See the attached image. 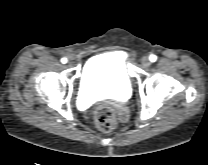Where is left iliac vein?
Here are the masks:
<instances>
[{
    "mask_svg": "<svg viewBox=\"0 0 208 165\" xmlns=\"http://www.w3.org/2000/svg\"><path fill=\"white\" fill-rule=\"evenodd\" d=\"M142 64H143V66H145V67H149V66L151 65L150 59H149L148 57H144V58L142 59Z\"/></svg>",
    "mask_w": 208,
    "mask_h": 165,
    "instance_id": "obj_1",
    "label": "left iliac vein"
}]
</instances>
